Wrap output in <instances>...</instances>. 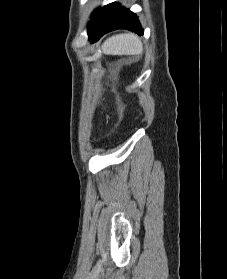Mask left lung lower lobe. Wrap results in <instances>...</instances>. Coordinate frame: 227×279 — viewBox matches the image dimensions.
<instances>
[{
    "label": "left lung lower lobe",
    "instance_id": "0a47b994",
    "mask_svg": "<svg viewBox=\"0 0 227 279\" xmlns=\"http://www.w3.org/2000/svg\"><path fill=\"white\" fill-rule=\"evenodd\" d=\"M122 28L134 31L138 35L143 34L136 14L116 2L105 5L96 9L91 16L87 27L89 41L93 43L104 34Z\"/></svg>",
    "mask_w": 227,
    "mask_h": 279
}]
</instances>
